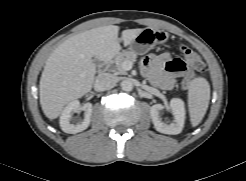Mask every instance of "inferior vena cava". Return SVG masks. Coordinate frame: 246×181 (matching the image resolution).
I'll use <instances>...</instances> for the list:
<instances>
[{
    "label": "inferior vena cava",
    "mask_w": 246,
    "mask_h": 181,
    "mask_svg": "<svg viewBox=\"0 0 246 181\" xmlns=\"http://www.w3.org/2000/svg\"><path fill=\"white\" fill-rule=\"evenodd\" d=\"M116 85V78L109 73H102L97 76L94 89L96 91H105L113 88Z\"/></svg>",
    "instance_id": "inferior-vena-cava-1"
}]
</instances>
